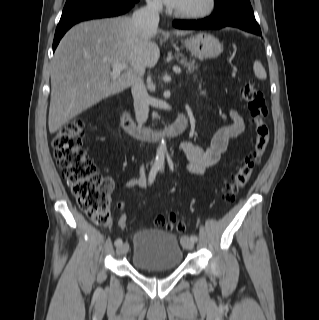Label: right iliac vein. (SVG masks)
<instances>
[{
  "instance_id": "right-iliac-vein-1",
  "label": "right iliac vein",
  "mask_w": 319,
  "mask_h": 320,
  "mask_svg": "<svg viewBox=\"0 0 319 320\" xmlns=\"http://www.w3.org/2000/svg\"><path fill=\"white\" fill-rule=\"evenodd\" d=\"M128 251V244L124 243L117 247L116 253L118 255L125 254Z\"/></svg>"
}]
</instances>
